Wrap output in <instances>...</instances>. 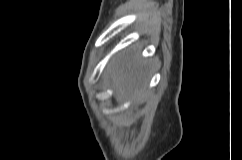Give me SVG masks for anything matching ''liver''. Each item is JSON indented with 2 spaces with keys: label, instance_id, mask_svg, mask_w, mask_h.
Here are the masks:
<instances>
[{
  "label": "liver",
  "instance_id": "6515ba94",
  "mask_svg": "<svg viewBox=\"0 0 242 160\" xmlns=\"http://www.w3.org/2000/svg\"><path fill=\"white\" fill-rule=\"evenodd\" d=\"M147 73L146 63L132 50L118 54L108 67V74L116 90V101L122 103L128 99H135L136 102L141 100L147 86Z\"/></svg>",
  "mask_w": 242,
  "mask_h": 160
}]
</instances>
